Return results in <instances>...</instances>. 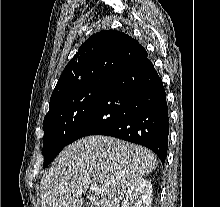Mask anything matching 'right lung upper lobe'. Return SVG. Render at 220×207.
Wrapping results in <instances>:
<instances>
[{"instance_id":"1","label":"right lung upper lobe","mask_w":220,"mask_h":207,"mask_svg":"<svg viewBox=\"0 0 220 207\" xmlns=\"http://www.w3.org/2000/svg\"><path fill=\"white\" fill-rule=\"evenodd\" d=\"M147 55L145 48L129 35L102 30L88 38L66 65L51 100L79 87L109 80Z\"/></svg>"}]
</instances>
